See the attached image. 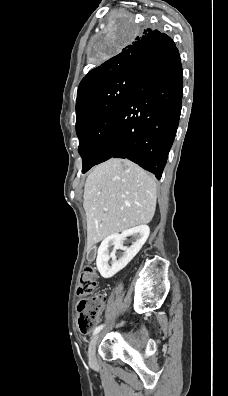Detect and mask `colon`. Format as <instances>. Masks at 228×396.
Wrapping results in <instances>:
<instances>
[{
	"mask_svg": "<svg viewBox=\"0 0 228 396\" xmlns=\"http://www.w3.org/2000/svg\"><path fill=\"white\" fill-rule=\"evenodd\" d=\"M97 273L92 265L86 266L80 274L77 294L82 298L77 304L78 326L83 334L89 333L95 326L99 311L104 304L102 296H90L97 285Z\"/></svg>",
	"mask_w": 228,
	"mask_h": 396,
	"instance_id": "5ec220e1",
	"label": "colon"
}]
</instances>
